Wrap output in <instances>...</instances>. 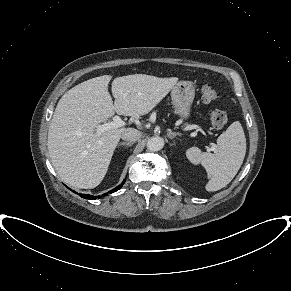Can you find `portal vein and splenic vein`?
<instances>
[{
  "label": "portal vein and splenic vein",
  "instance_id": "obj_1",
  "mask_svg": "<svg viewBox=\"0 0 291 291\" xmlns=\"http://www.w3.org/2000/svg\"><path fill=\"white\" fill-rule=\"evenodd\" d=\"M125 125V122L119 117V116H114L113 117V121L108 122V123H104L103 125H100L96 128V132L98 135L102 134L105 131L111 130V129H117L120 128L122 126ZM198 126L197 125H191L188 126L186 128H184V130H192V129H197Z\"/></svg>",
  "mask_w": 291,
  "mask_h": 291
}]
</instances>
